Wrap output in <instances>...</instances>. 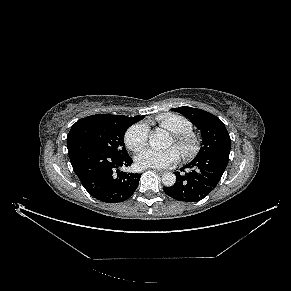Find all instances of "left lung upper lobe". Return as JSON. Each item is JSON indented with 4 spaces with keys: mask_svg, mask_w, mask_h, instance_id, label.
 Wrapping results in <instances>:
<instances>
[{
    "mask_svg": "<svg viewBox=\"0 0 291 291\" xmlns=\"http://www.w3.org/2000/svg\"><path fill=\"white\" fill-rule=\"evenodd\" d=\"M187 117L201 131L202 144L194 160L217 152H230L231 139L224 123L213 114L192 107L172 108Z\"/></svg>",
    "mask_w": 291,
    "mask_h": 291,
    "instance_id": "5c2ea615",
    "label": "left lung upper lobe"
}]
</instances>
